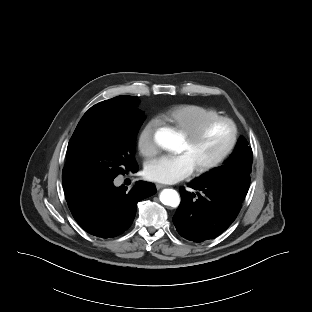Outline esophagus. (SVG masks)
<instances>
[{"mask_svg":"<svg viewBox=\"0 0 312 312\" xmlns=\"http://www.w3.org/2000/svg\"><path fill=\"white\" fill-rule=\"evenodd\" d=\"M165 187H166V185H164V184H159V183L156 184V188H157L158 190H160V189H162V188H165Z\"/></svg>","mask_w":312,"mask_h":312,"instance_id":"esophagus-1","label":"esophagus"}]
</instances>
